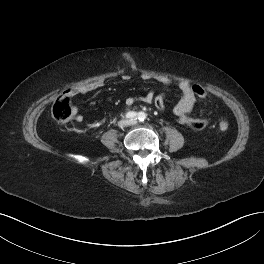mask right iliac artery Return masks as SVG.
Returning a JSON list of instances; mask_svg holds the SVG:
<instances>
[{"mask_svg": "<svg viewBox=\"0 0 264 264\" xmlns=\"http://www.w3.org/2000/svg\"><path fill=\"white\" fill-rule=\"evenodd\" d=\"M137 113L136 112H133V111H130V112H127L126 113V118H128V119H137Z\"/></svg>", "mask_w": 264, "mask_h": 264, "instance_id": "obj_1", "label": "right iliac artery"}]
</instances>
